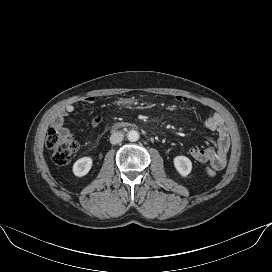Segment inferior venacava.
Returning <instances> with one entry per match:
<instances>
[{
	"mask_svg": "<svg viewBox=\"0 0 272 272\" xmlns=\"http://www.w3.org/2000/svg\"><path fill=\"white\" fill-rule=\"evenodd\" d=\"M124 138L123 133L121 132H114L112 133V135L110 136V143L115 145L120 143Z\"/></svg>",
	"mask_w": 272,
	"mask_h": 272,
	"instance_id": "1",
	"label": "inferior vena cava"
}]
</instances>
